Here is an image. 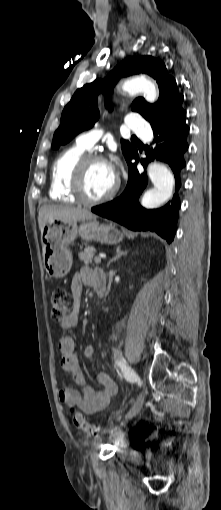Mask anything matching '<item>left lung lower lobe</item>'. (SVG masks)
Returning a JSON list of instances; mask_svg holds the SVG:
<instances>
[{"label":"left lung lower lobe","mask_w":221,"mask_h":510,"mask_svg":"<svg viewBox=\"0 0 221 510\" xmlns=\"http://www.w3.org/2000/svg\"><path fill=\"white\" fill-rule=\"evenodd\" d=\"M186 112L175 117L151 124L156 144L153 148L147 147L145 159L141 164L146 168L153 160L167 163L173 171L176 182V193L171 202L160 209L147 210L140 206L138 198L147 185L146 172L139 173L137 163L138 152L128 160V183L122 195L115 200L91 209L92 212L111 219L134 231H152L172 242L178 219L180 200L177 194L180 186V173L185 167L184 153L188 149L187 135L189 127L185 123ZM135 159V163L131 160Z\"/></svg>","instance_id":"obj_1"}]
</instances>
